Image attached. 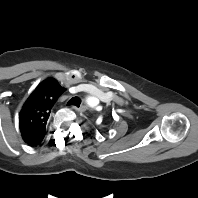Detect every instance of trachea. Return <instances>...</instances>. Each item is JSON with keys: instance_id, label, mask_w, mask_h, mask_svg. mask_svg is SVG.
<instances>
[{"instance_id": "obj_1", "label": "trachea", "mask_w": 198, "mask_h": 198, "mask_svg": "<svg viewBox=\"0 0 198 198\" xmlns=\"http://www.w3.org/2000/svg\"><path fill=\"white\" fill-rule=\"evenodd\" d=\"M80 104H81V99H80L79 97H73V98H71V99L69 100V102H68L67 105H68V106L74 105V106L79 107Z\"/></svg>"}]
</instances>
